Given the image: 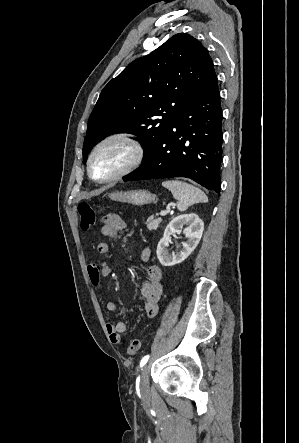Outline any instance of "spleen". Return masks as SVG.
<instances>
[{"label": "spleen", "instance_id": "1", "mask_svg": "<svg viewBox=\"0 0 299 443\" xmlns=\"http://www.w3.org/2000/svg\"><path fill=\"white\" fill-rule=\"evenodd\" d=\"M162 186L171 191L177 202V209L185 211L195 203H206L208 197L199 188L178 180H167Z\"/></svg>", "mask_w": 299, "mask_h": 443}]
</instances>
